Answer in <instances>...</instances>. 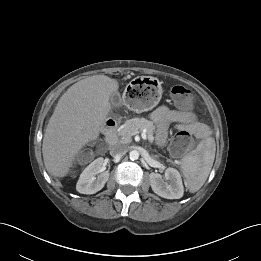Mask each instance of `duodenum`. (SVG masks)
I'll use <instances>...</instances> for the list:
<instances>
[{
    "label": "duodenum",
    "instance_id": "410a0bca",
    "mask_svg": "<svg viewBox=\"0 0 261 261\" xmlns=\"http://www.w3.org/2000/svg\"><path fill=\"white\" fill-rule=\"evenodd\" d=\"M103 132L109 147H113L117 142V122L113 118H108L104 124Z\"/></svg>",
    "mask_w": 261,
    "mask_h": 261
}]
</instances>
